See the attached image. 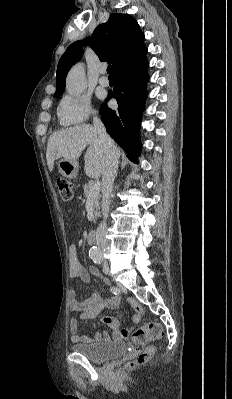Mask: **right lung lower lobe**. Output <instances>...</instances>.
<instances>
[{
	"instance_id": "1",
	"label": "right lung lower lobe",
	"mask_w": 232,
	"mask_h": 399,
	"mask_svg": "<svg viewBox=\"0 0 232 399\" xmlns=\"http://www.w3.org/2000/svg\"><path fill=\"white\" fill-rule=\"evenodd\" d=\"M148 62L146 54L116 70V86L109 92L118 102V110L114 111L104 103L100 109L101 120L107 133L127 153L130 160L135 161L141 149L140 121L147 96L146 83Z\"/></svg>"
}]
</instances>
